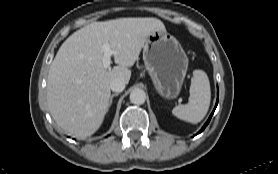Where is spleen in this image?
<instances>
[{
  "mask_svg": "<svg viewBox=\"0 0 278 174\" xmlns=\"http://www.w3.org/2000/svg\"><path fill=\"white\" fill-rule=\"evenodd\" d=\"M189 92L188 103L176 106L172 113L181 120L196 124L207 114L211 100L210 83L204 71L193 72Z\"/></svg>",
  "mask_w": 278,
  "mask_h": 174,
  "instance_id": "spleen-1",
  "label": "spleen"
}]
</instances>
